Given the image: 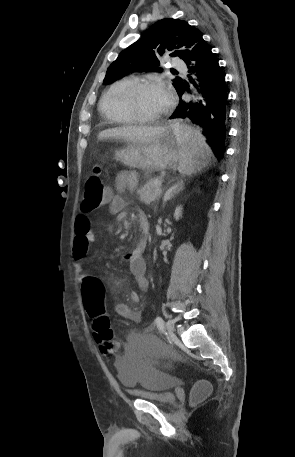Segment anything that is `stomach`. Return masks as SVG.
I'll return each instance as SVG.
<instances>
[{"instance_id": "0dacf381", "label": "stomach", "mask_w": 295, "mask_h": 457, "mask_svg": "<svg viewBox=\"0 0 295 457\" xmlns=\"http://www.w3.org/2000/svg\"><path fill=\"white\" fill-rule=\"evenodd\" d=\"M177 137L173 126H164L163 131L149 143L127 142L114 153V159L124 165L144 171H161L173 167L180 155L176 150ZM210 161H204L206 165Z\"/></svg>"}]
</instances>
